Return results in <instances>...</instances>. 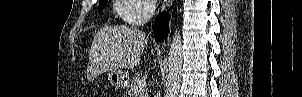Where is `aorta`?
I'll return each mask as SVG.
<instances>
[{
    "instance_id": "aorta-1",
    "label": "aorta",
    "mask_w": 302,
    "mask_h": 97,
    "mask_svg": "<svg viewBox=\"0 0 302 97\" xmlns=\"http://www.w3.org/2000/svg\"><path fill=\"white\" fill-rule=\"evenodd\" d=\"M167 65L165 97H176L182 72V41L180 32L177 29L170 43Z\"/></svg>"
}]
</instances>
